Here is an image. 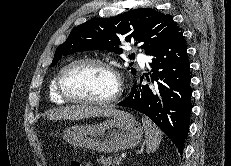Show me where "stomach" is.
I'll return each mask as SVG.
<instances>
[{
  "label": "stomach",
  "mask_w": 231,
  "mask_h": 166,
  "mask_svg": "<svg viewBox=\"0 0 231 166\" xmlns=\"http://www.w3.org/2000/svg\"><path fill=\"white\" fill-rule=\"evenodd\" d=\"M143 137V128L129 113H122L94 125H74L63 132L71 145L115 153L137 146Z\"/></svg>",
  "instance_id": "0dacf381"
}]
</instances>
